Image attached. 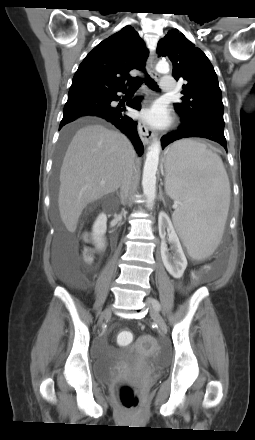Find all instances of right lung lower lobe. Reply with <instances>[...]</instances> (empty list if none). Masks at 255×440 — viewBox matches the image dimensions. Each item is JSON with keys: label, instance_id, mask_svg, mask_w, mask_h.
Listing matches in <instances>:
<instances>
[{"label": "right lung lower lobe", "instance_id": "right-lung-lower-lobe-1", "mask_svg": "<svg viewBox=\"0 0 255 440\" xmlns=\"http://www.w3.org/2000/svg\"><path fill=\"white\" fill-rule=\"evenodd\" d=\"M126 87L110 93L81 95L73 98H68L63 111V119L60 123V129L83 116H98L120 129L125 135L129 137L135 147L138 155L143 153V144L137 133V122L124 114L125 107H113L111 102L119 100L117 92H125ZM141 97L134 98L128 103V106L140 110Z\"/></svg>", "mask_w": 255, "mask_h": 440}]
</instances>
